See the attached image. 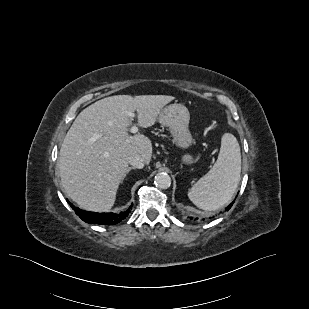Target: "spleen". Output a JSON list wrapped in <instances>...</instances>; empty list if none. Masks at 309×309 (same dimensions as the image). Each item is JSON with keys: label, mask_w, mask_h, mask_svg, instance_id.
<instances>
[{"label": "spleen", "mask_w": 309, "mask_h": 309, "mask_svg": "<svg viewBox=\"0 0 309 309\" xmlns=\"http://www.w3.org/2000/svg\"><path fill=\"white\" fill-rule=\"evenodd\" d=\"M241 173V152L236 137L225 133L218 159L209 172L188 191L189 199L200 209L214 211L227 204L235 193Z\"/></svg>", "instance_id": "spleen-1"}]
</instances>
